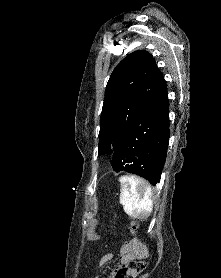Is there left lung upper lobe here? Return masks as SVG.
<instances>
[{
	"label": "left lung upper lobe",
	"mask_w": 221,
	"mask_h": 278,
	"mask_svg": "<svg viewBox=\"0 0 221 278\" xmlns=\"http://www.w3.org/2000/svg\"><path fill=\"white\" fill-rule=\"evenodd\" d=\"M162 73L152 56L137 50L113 70L100 119L98 154L113 152L156 92Z\"/></svg>",
	"instance_id": "obj_1"
}]
</instances>
